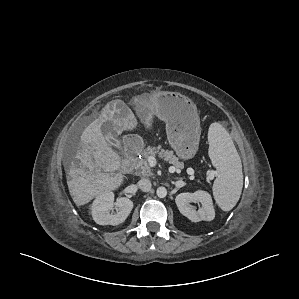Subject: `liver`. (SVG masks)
Instances as JSON below:
<instances>
[{
    "instance_id": "obj_1",
    "label": "liver",
    "mask_w": 299,
    "mask_h": 299,
    "mask_svg": "<svg viewBox=\"0 0 299 299\" xmlns=\"http://www.w3.org/2000/svg\"><path fill=\"white\" fill-rule=\"evenodd\" d=\"M105 122H111L117 134L132 130L137 125L135 116L125 103L114 100L84 129L66 176L69 193L77 206L87 204L94 197L115 190L123 183V177L114 174L120 168L121 158L101 132Z\"/></svg>"
}]
</instances>
